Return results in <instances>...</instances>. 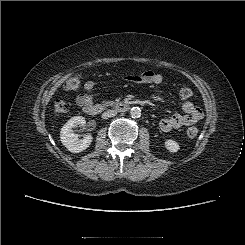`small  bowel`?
I'll return each instance as SVG.
<instances>
[{
    "mask_svg": "<svg viewBox=\"0 0 245 245\" xmlns=\"http://www.w3.org/2000/svg\"><path fill=\"white\" fill-rule=\"evenodd\" d=\"M126 79L135 83L156 85L161 84L163 81L161 74L150 70L144 71L137 75H129L126 77ZM84 89L85 93L77 96L76 103L86 111L87 108L93 104L94 96L92 91L94 89V83L92 81H87L84 85ZM182 111L183 114L176 113L169 117L163 118L159 123L160 129L163 132H168L182 126L193 125L203 117L201 108L188 100L182 104Z\"/></svg>",
    "mask_w": 245,
    "mask_h": 245,
    "instance_id": "c3829d8e",
    "label": "small bowel"
}]
</instances>
